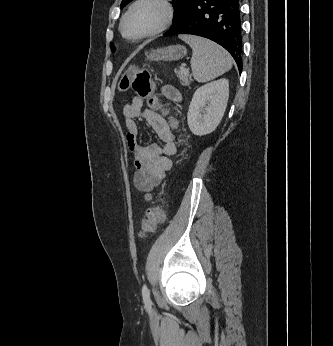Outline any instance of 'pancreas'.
I'll list each match as a JSON object with an SVG mask.
<instances>
[{
    "instance_id": "obj_1",
    "label": "pancreas",
    "mask_w": 333,
    "mask_h": 346,
    "mask_svg": "<svg viewBox=\"0 0 333 346\" xmlns=\"http://www.w3.org/2000/svg\"><path fill=\"white\" fill-rule=\"evenodd\" d=\"M175 74L178 77L179 81L185 85V86H189L191 83V75H189V73H184L182 71V69L179 70H175Z\"/></svg>"
}]
</instances>
